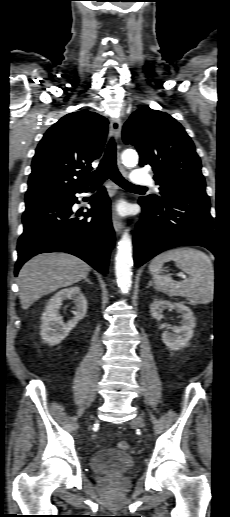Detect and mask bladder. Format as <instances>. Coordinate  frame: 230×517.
<instances>
[{"mask_svg":"<svg viewBox=\"0 0 230 517\" xmlns=\"http://www.w3.org/2000/svg\"><path fill=\"white\" fill-rule=\"evenodd\" d=\"M134 463V457L131 454L114 448L97 451L90 457V468L97 473H124L130 470Z\"/></svg>","mask_w":230,"mask_h":517,"instance_id":"31cf9c89","label":"bladder"}]
</instances>
